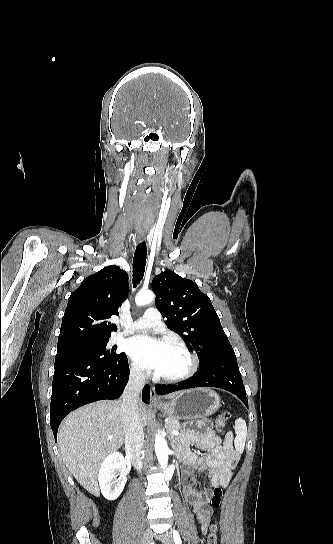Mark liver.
Returning a JSON list of instances; mask_svg holds the SVG:
<instances>
[{
  "mask_svg": "<svg viewBox=\"0 0 333 544\" xmlns=\"http://www.w3.org/2000/svg\"><path fill=\"white\" fill-rule=\"evenodd\" d=\"M120 404V401H99L83 406L69 414L58 431L63 461L78 483L95 496L99 495L97 476L101 461L124 442ZM139 415L142 425L147 426L151 414L142 403Z\"/></svg>",
  "mask_w": 333,
  "mask_h": 544,
  "instance_id": "6515ba94",
  "label": "liver"
}]
</instances>
